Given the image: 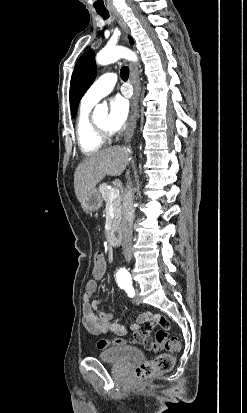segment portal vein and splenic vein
I'll return each instance as SVG.
<instances>
[{
    "label": "portal vein and splenic vein",
    "mask_w": 247,
    "mask_h": 413,
    "mask_svg": "<svg viewBox=\"0 0 247 413\" xmlns=\"http://www.w3.org/2000/svg\"><path fill=\"white\" fill-rule=\"evenodd\" d=\"M109 194L111 198H117V196H119L118 186H114V188H109Z\"/></svg>",
    "instance_id": "1"
}]
</instances>
